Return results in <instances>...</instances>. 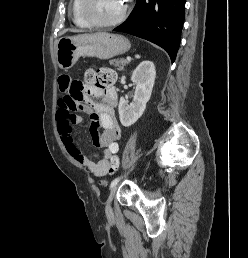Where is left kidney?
I'll list each match as a JSON object with an SVG mask.
<instances>
[{"mask_svg":"<svg viewBox=\"0 0 248 258\" xmlns=\"http://www.w3.org/2000/svg\"><path fill=\"white\" fill-rule=\"evenodd\" d=\"M156 77L155 66L152 61H142L133 71L131 80L136 84L133 101L121 97L118 110L120 122L124 127L133 125L144 113L149 101Z\"/></svg>","mask_w":248,"mask_h":258,"instance_id":"5707ae66","label":"left kidney"}]
</instances>
